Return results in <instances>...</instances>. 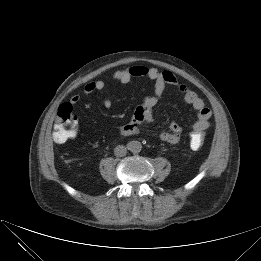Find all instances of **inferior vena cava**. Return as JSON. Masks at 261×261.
Masks as SVG:
<instances>
[{
	"instance_id": "1",
	"label": "inferior vena cava",
	"mask_w": 261,
	"mask_h": 261,
	"mask_svg": "<svg viewBox=\"0 0 261 261\" xmlns=\"http://www.w3.org/2000/svg\"><path fill=\"white\" fill-rule=\"evenodd\" d=\"M127 153V148L123 145H118L117 147H115L114 149V154L117 157H123L125 156Z\"/></svg>"
}]
</instances>
